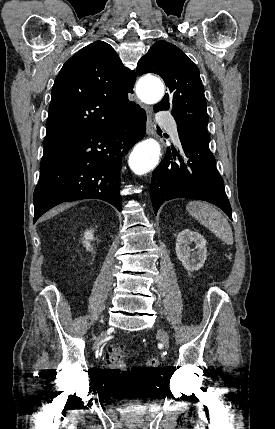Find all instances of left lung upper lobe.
Here are the masks:
<instances>
[{"instance_id": "obj_1", "label": "left lung upper lobe", "mask_w": 275, "mask_h": 429, "mask_svg": "<svg viewBox=\"0 0 275 429\" xmlns=\"http://www.w3.org/2000/svg\"><path fill=\"white\" fill-rule=\"evenodd\" d=\"M138 75L155 73L163 78L168 93L155 109L168 110L177 128L210 140L204 87L197 66L175 45L158 41L139 60Z\"/></svg>"}]
</instances>
